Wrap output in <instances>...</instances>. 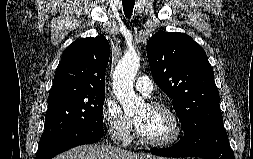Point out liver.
I'll return each instance as SVG.
<instances>
[{
  "instance_id": "obj_1",
  "label": "liver",
  "mask_w": 253,
  "mask_h": 159,
  "mask_svg": "<svg viewBox=\"0 0 253 159\" xmlns=\"http://www.w3.org/2000/svg\"><path fill=\"white\" fill-rule=\"evenodd\" d=\"M152 157L155 158L156 156L137 154L111 146L91 144L72 148L53 159H148Z\"/></svg>"
}]
</instances>
